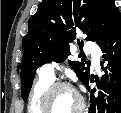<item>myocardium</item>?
<instances>
[{"instance_id":"myocardium-1","label":"myocardium","mask_w":121,"mask_h":113,"mask_svg":"<svg viewBox=\"0 0 121 113\" xmlns=\"http://www.w3.org/2000/svg\"><path fill=\"white\" fill-rule=\"evenodd\" d=\"M60 90H68V91L72 92L77 98V105L73 110H71V113H77L84 109V105H85L84 98H83L82 94L80 93V91L72 84L67 83V82H61V81L51 83L45 89L44 95H43V101H42L43 109H45V110L53 109L54 94ZM47 113H50V112H47Z\"/></svg>"}]
</instances>
